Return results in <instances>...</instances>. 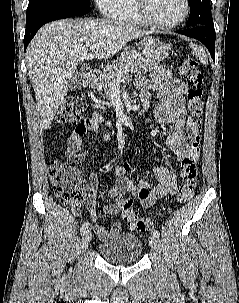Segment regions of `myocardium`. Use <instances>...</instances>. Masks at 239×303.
<instances>
[{
	"label": "myocardium",
	"mask_w": 239,
	"mask_h": 303,
	"mask_svg": "<svg viewBox=\"0 0 239 303\" xmlns=\"http://www.w3.org/2000/svg\"><path fill=\"white\" fill-rule=\"evenodd\" d=\"M149 2L150 0H133L134 9L136 11V14L142 21V23L150 28L158 29V30H169L174 29L181 24H183L190 15V1L189 0H183L184 3V13L181 16L180 19L167 24H160L155 21H153L149 16Z\"/></svg>",
	"instance_id": "1"
}]
</instances>
